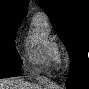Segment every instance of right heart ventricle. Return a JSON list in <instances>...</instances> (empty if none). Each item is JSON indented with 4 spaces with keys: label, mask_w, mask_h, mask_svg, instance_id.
<instances>
[{
    "label": "right heart ventricle",
    "mask_w": 89,
    "mask_h": 89,
    "mask_svg": "<svg viewBox=\"0 0 89 89\" xmlns=\"http://www.w3.org/2000/svg\"><path fill=\"white\" fill-rule=\"evenodd\" d=\"M28 44L31 62L60 63V52L57 39L44 13H36L32 19Z\"/></svg>",
    "instance_id": "1"
}]
</instances>
